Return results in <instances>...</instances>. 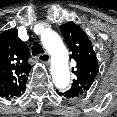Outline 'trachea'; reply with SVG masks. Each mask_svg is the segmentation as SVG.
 <instances>
[{
  "mask_svg": "<svg viewBox=\"0 0 117 117\" xmlns=\"http://www.w3.org/2000/svg\"><path fill=\"white\" fill-rule=\"evenodd\" d=\"M38 54H44V50L38 42H35L32 46V55L35 56Z\"/></svg>",
  "mask_w": 117,
  "mask_h": 117,
  "instance_id": "trachea-1",
  "label": "trachea"
}]
</instances>
